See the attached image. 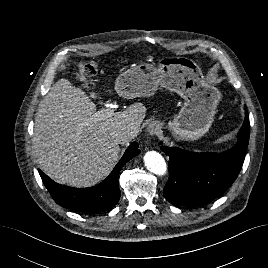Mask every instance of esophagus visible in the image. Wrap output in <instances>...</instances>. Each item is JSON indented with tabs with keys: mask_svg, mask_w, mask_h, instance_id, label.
Segmentation results:
<instances>
[{
	"mask_svg": "<svg viewBox=\"0 0 268 268\" xmlns=\"http://www.w3.org/2000/svg\"><path fill=\"white\" fill-rule=\"evenodd\" d=\"M160 129H161V126L159 122H152L147 126L146 130H147L148 135L154 136L159 132Z\"/></svg>",
	"mask_w": 268,
	"mask_h": 268,
	"instance_id": "obj_1",
	"label": "esophagus"
}]
</instances>
